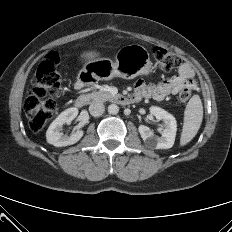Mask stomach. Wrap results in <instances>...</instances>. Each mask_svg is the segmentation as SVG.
I'll return each instance as SVG.
<instances>
[{
  "label": "stomach",
  "mask_w": 232,
  "mask_h": 232,
  "mask_svg": "<svg viewBox=\"0 0 232 232\" xmlns=\"http://www.w3.org/2000/svg\"><path fill=\"white\" fill-rule=\"evenodd\" d=\"M152 62L146 48L132 44L122 47L112 61L109 58L94 59L87 62L78 74V83L91 85L100 80L114 77L132 79L138 75H148Z\"/></svg>",
  "instance_id": "1"
}]
</instances>
